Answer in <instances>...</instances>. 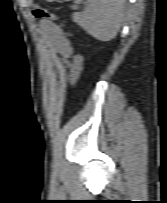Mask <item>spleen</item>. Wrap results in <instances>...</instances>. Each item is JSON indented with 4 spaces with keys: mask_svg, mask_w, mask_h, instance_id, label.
Segmentation results:
<instances>
[{
    "mask_svg": "<svg viewBox=\"0 0 167 203\" xmlns=\"http://www.w3.org/2000/svg\"><path fill=\"white\" fill-rule=\"evenodd\" d=\"M82 1L75 0L71 8L77 10ZM86 3L84 11L73 14L74 22L99 40L115 38L124 19L125 0H86Z\"/></svg>",
    "mask_w": 167,
    "mask_h": 203,
    "instance_id": "obj_1",
    "label": "spleen"
}]
</instances>
